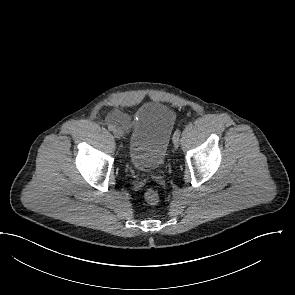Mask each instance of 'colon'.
I'll return each mask as SVG.
<instances>
[{"instance_id":"5ec220e1","label":"colon","mask_w":295,"mask_h":295,"mask_svg":"<svg viewBox=\"0 0 295 295\" xmlns=\"http://www.w3.org/2000/svg\"><path fill=\"white\" fill-rule=\"evenodd\" d=\"M144 198L146 202L150 205H155L159 201V195L154 189H148L144 194Z\"/></svg>"}]
</instances>
